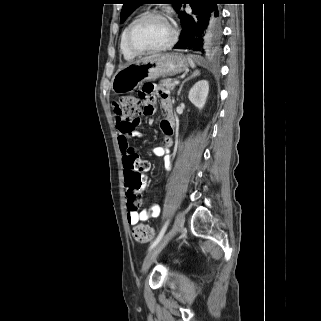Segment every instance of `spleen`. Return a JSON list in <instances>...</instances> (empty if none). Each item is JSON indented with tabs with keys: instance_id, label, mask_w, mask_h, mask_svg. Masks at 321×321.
<instances>
[{
	"instance_id": "1",
	"label": "spleen",
	"mask_w": 321,
	"mask_h": 321,
	"mask_svg": "<svg viewBox=\"0 0 321 321\" xmlns=\"http://www.w3.org/2000/svg\"><path fill=\"white\" fill-rule=\"evenodd\" d=\"M188 62H189L190 66H191L192 68L195 67V63L193 62L191 56H188Z\"/></svg>"
}]
</instances>
